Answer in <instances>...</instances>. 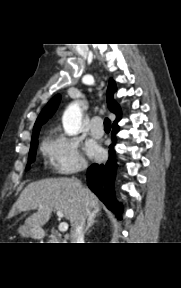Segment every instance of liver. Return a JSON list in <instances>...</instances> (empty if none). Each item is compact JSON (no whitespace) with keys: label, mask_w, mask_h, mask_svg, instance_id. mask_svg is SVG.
Returning <instances> with one entry per match:
<instances>
[{"label":"liver","mask_w":181,"mask_h":288,"mask_svg":"<svg viewBox=\"0 0 181 288\" xmlns=\"http://www.w3.org/2000/svg\"><path fill=\"white\" fill-rule=\"evenodd\" d=\"M100 209L99 200L87 187L73 178H50L30 183L21 192L8 214L12 218L16 212L37 210L25 221L26 226L41 231L53 211L65 214L71 227L81 215L83 206Z\"/></svg>","instance_id":"6515ba94"}]
</instances>
